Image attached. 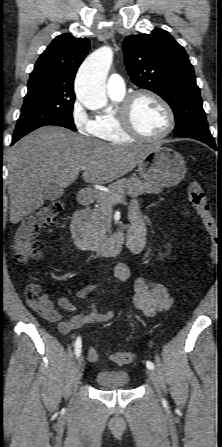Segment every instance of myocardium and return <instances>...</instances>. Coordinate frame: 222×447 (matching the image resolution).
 I'll use <instances>...</instances> for the list:
<instances>
[{
    "label": "myocardium",
    "mask_w": 222,
    "mask_h": 447,
    "mask_svg": "<svg viewBox=\"0 0 222 447\" xmlns=\"http://www.w3.org/2000/svg\"><path fill=\"white\" fill-rule=\"evenodd\" d=\"M140 96H148L155 100L165 111L167 125L163 132L157 136H147L142 134L135 127L132 120V109L136 99ZM118 122L121 130L134 140L141 142H158L166 138L175 127V115L168 102L158 93L150 89H138L125 95L119 102L117 109Z\"/></svg>",
    "instance_id": "obj_1"
}]
</instances>
